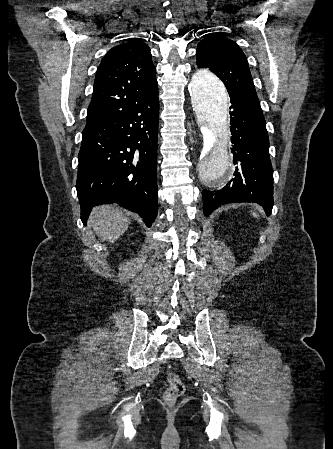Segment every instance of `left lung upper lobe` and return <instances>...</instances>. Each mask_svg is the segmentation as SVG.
Masks as SVG:
<instances>
[{
    "label": "left lung upper lobe",
    "mask_w": 333,
    "mask_h": 449,
    "mask_svg": "<svg viewBox=\"0 0 333 449\" xmlns=\"http://www.w3.org/2000/svg\"><path fill=\"white\" fill-rule=\"evenodd\" d=\"M196 50L199 68H209L224 83L228 93L235 92L260 105L245 54L232 40L216 33L202 36Z\"/></svg>",
    "instance_id": "left-lung-upper-lobe-1"
}]
</instances>
